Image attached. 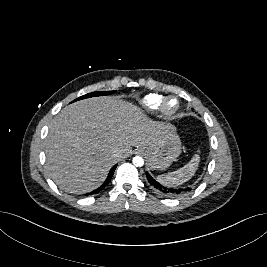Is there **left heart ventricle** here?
Wrapping results in <instances>:
<instances>
[{
    "instance_id": "left-heart-ventricle-1",
    "label": "left heart ventricle",
    "mask_w": 267,
    "mask_h": 267,
    "mask_svg": "<svg viewBox=\"0 0 267 267\" xmlns=\"http://www.w3.org/2000/svg\"><path fill=\"white\" fill-rule=\"evenodd\" d=\"M175 105H176V102L175 101H171L168 106H169L170 109H172V108L175 107Z\"/></svg>"
}]
</instances>
